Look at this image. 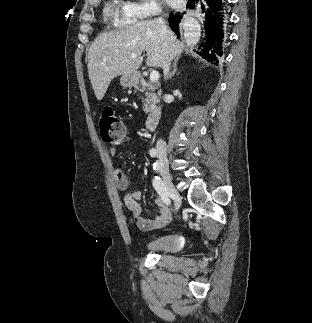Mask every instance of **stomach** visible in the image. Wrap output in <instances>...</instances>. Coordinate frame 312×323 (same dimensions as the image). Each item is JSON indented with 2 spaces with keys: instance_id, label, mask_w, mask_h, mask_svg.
Here are the masks:
<instances>
[{
  "instance_id": "obj_1",
  "label": "stomach",
  "mask_w": 312,
  "mask_h": 323,
  "mask_svg": "<svg viewBox=\"0 0 312 323\" xmlns=\"http://www.w3.org/2000/svg\"><path fill=\"white\" fill-rule=\"evenodd\" d=\"M138 82V74L133 72V74H122L120 78V84L123 88H131L134 84Z\"/></svg>"
}]
</instances>
